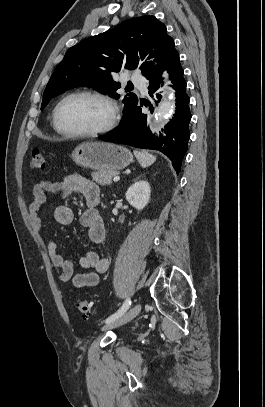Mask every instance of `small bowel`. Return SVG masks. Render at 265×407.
<instances>
[{
	"label": "small bowel",
	"instance_id": "c3829d8e",
	"mask_svg": "<svg viewBox=\"0 0 265 407\" xmlns=\"http://www.w3.org/2000/svg\"><path fill=\"white\" fill-rule=\"evenodd\" d=\"M73 192L82 194L86 200L87 208L81 214L80 223L87 230L89 240L93 243H101L105 238V226L93 205V201L100 198V190L96 183L79 173H70L57 182L41 180L34 185V201L29 205V215L35 231L40 233L43 230L40 211L47 201V194L67 196ZM54 217L60 224H70L74 214L69 206L58 205L54 211ZM47 249L51 262L60 269V280L65 283L71 282L77 288L97 285L99 275L108 270L109 263L106 258L95 251H87L77 257V262L80 267L89 271L74 273V260L65 259L54 240L47 241Z\"/></svg>",
	"mask_w": 265,
	"mask_h": 407
}]
</instances>
